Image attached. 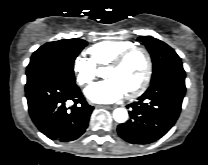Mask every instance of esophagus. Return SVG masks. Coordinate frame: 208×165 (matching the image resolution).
I'll return each instance as SVG.
<instances>
[{
    "label": "esophagus",
    "instance_id": "esophagus-1",
    "mask_svg": "<svg viewBox=\"0 0 208 165\" xmlns=\"http://www.w3.org/2000/svg\"><path fill=\"white\" fill-rule=\"evenodd\" d=\"M96 107H101L105 109H114L116 106L115 105H96Z\"/></svg>",
    "mask_w": 208,
    "mask_h": 165
}]
</instances>
